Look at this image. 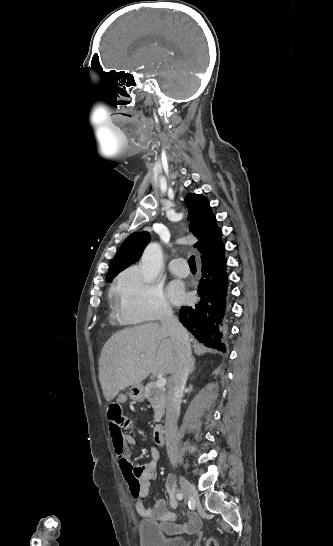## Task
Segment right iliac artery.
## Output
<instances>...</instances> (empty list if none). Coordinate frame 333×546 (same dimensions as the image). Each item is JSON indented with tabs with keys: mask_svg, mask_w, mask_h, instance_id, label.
<instances>
[{
	"mask_svg": "<svg viewBox=\"0 0 333 546\" xmlns=\"http://www.w3.org/2000/svg\"><path fill=\"white\" fill-rule=\"evenodd\" d=\"M176 498H177L178 500H181V499L183 498V494H182V493H177V494H176Z\"/></svg>",
	"mask_w": 333,
	"mask_h": 546,
	"instance_id": "1",
	"label": "right iliac artery"
}]
</instances>
